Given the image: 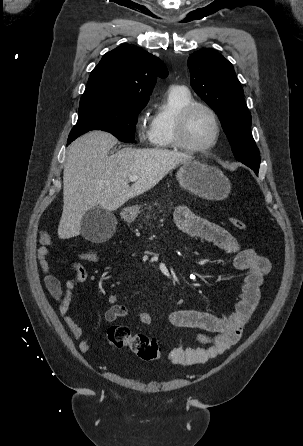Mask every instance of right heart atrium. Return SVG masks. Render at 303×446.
<instances>
[{
	"label": "right heart atrium",
	"mask_w": 303,
	"mask_h": 446,
	"mask_svg": "<svg viewBox=\"0 0 303 446\" xmlns=\"http://www.w3.org/2000/svg\"><path fill=\"white\" fill-rule=\"evenodd\" d=\"M137 134L141 142H146L150 140L151 137V127H147L145 124V117L141 116L137 125Z\"/></svg>",
	"instance_id": "obj_1"
}]
</instances>
